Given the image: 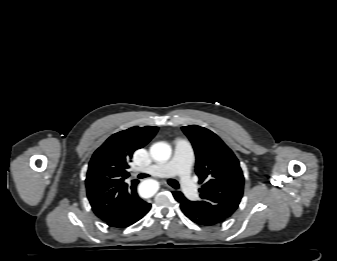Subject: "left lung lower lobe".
Wrapping results in <instances>:
<instances>
[{
    "mask_svg": "<svg viewBox=\"0 0 337 261\" xmlns=\"http://www.w3.org/2000/svg\"><path fill=\"white\" fill-rule=\"evenodd\" d=\"M173 196L180 203L182 212L194 223L202 226H216L223 222L222 219L187 200L181 192L175 191Z\"/></svg>",
    "mask_w": 337,
    "mask_h": 261,
    "instance_id": "1",
    "label": "left lung lower lobe"
}]
</instances>
